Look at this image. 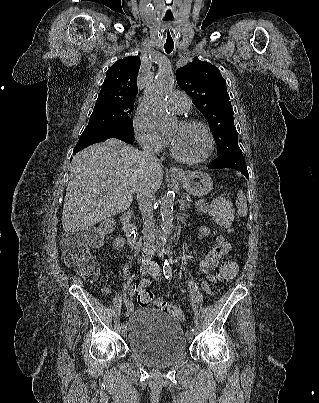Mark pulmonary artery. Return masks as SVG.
<instances>
[{
  "label": "pulmonary artery",
  "instance_id": "pulmonary-artery-1",
  "mask_svg": "<svg viewBox=\"0 0 319 403\" xmlns=\"http://www.w3.org/2000/svg\"><path fill=\"white\" fill-rule=\"evenodd\" d=\"M169 106L178 114L185 113L190 108V98L180 91H174L169 95Z\"/></svg>",
  "mask_w": 319,
  "mask_h": 403
}]
</instances>
